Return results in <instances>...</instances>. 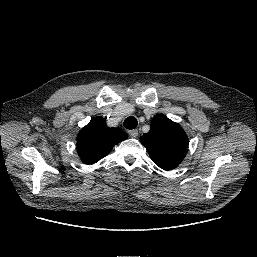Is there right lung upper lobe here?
I'll use <instances>...</instances> for the list:
<instances>
[{
	"label": "right lung upper lobe",
	"mask_w": 257,
	"mask_h": 257,
	"mask_svg": "<svg viewBox=\"0 0 257 257\" xmlns=\"http://www.w3.org/2000/svg\"><path fill=\"white\" fill-rule=\"evenodd\" d=\"M127 139L119 128H109L102 117L93 118L79 132L77 138L78 154L85 164H94L108 155L113 146Z\"/></svg>",
	"instance_id": "1"
}]
</instances>
